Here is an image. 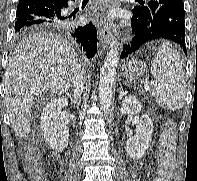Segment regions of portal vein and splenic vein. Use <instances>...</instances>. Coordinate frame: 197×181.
<instances>
[{
    "instance_id": "obj_1",
    "label": "portal vein and splenic vein",
    "mask_w": 197,
    "mask_h": 181,
    "mask_svg": "<svg viewBox=\"0 0 197 181\" xmlns=\"http://www.w3.org/2000/svg\"><path fill=\"white\" fill-rule=\"evenodd\" d=\"M145 90H146V91H149V90H150V87H149L148 85H146V86H145Z\"/></svg>"
}]
</instances>
